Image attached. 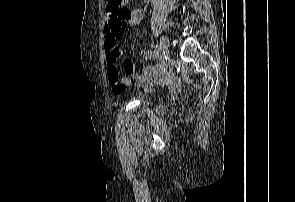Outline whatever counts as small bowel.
Listing matches in <instances>:
<instances>
[{
	"mask_svg": "<svg viewBox=\"0 0 295 202\" xmlns=\"http://www.w3.org/2000/svg\"><path fill=\"white\" fill-rule=\"evenodd\" d=\"M129 16L126 24L136 26L140 24L143 18V11L140 8H132L128 10ZM123 21L117 18H111L107 15L104 27L105 32V53L107 73L112 90L115 94H121L125 87L136 83L142 86L145 91H151L154 87L164 85L172 86V90H176L174 98H181V86L183 81H173V73L171 69L159 59L158 54L152 50H144L142 55L147 60H157V62L149 67H146L141 74L135 72V63H130V59H121V64H124V75H131V78L119 77L117 69V60L122 55V50L116 44L117 37L122 33Z\"/></svg>",
	"mask_w": 295,
	"mask_h": 202,
	"instance_id": "obj_1",
	"label": "small bowel"
}]
</instances>
